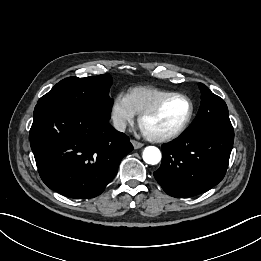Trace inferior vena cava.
Here are the masks:
<instances>
[{
	"instance_id": "602c4592",
	"label": "inferior vena cava",
	"mask_w": 261,
	"mask_h": 261,
	"mask_svg": "<svg viewBox=\"0 0 261 261\" xmlns=\"http://www.w3.org/2000/svg\"><path fill=\"white\" fill-rule=\"evenodd\" d=\"M113 126L116 130L124 132L126 129V122L119 118L113 119Z\"/></svg>"
}]
</instances>
